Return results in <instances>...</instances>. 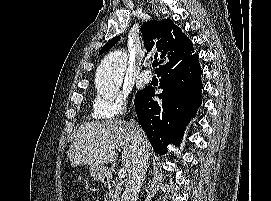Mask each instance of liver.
<instances>
[{
	"label": "liver",
	"instance_id": "obj_1",
	"mask_svg": "<svg viewBox=\"0 0 271 201\" xmlns=\"http://www.w3.org/2000/svg\"><path fill=\"white\" fill-rule=\"evenodd\" d=\"M117 148L122 149L123 166L130 172L136 157L130 124L122 120L86 122L79 127L68 158L72 167L112 163L117 160Z\"/></svg>",
	"mask_w": 271,
	"mask_h": 201
}]
</instances>
